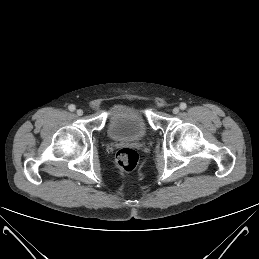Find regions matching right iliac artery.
<instances>
[{
	"label": "right iliac artery",
	"instance_id": "1",
	"mask_svg": "<svg viewBox=\"0 0 259 259\" xmlns=\"http://www.w3.org/2000/svg\"><path fill=\"white\" fill-rule=\"evenodd\" d=\"M68 109L73 112L76 108L75 105L71 104L69 105Z\"/></svg>",
	"mask_w": 259,
	"mask_h": 259
}]
</instances>
